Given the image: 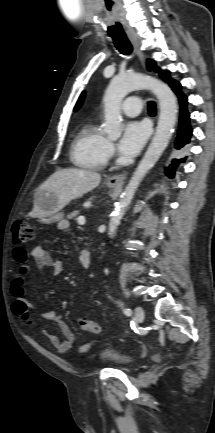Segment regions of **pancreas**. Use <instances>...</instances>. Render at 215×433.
<instances>
[{
	"label": "pancreas",
	"instance_id": "cf45deb5",
	"mask_svg": "<svg viewBox=\"0 0 215 433\" xmlns=\"http://www.w3.org/2000/svg\"><path fill=\"white\" fill-rule=\"evenodd\" d=\"M78 215H79V211L76 210V211L70 213L67 217H68V219H74V218L77 217Z\"/></svg>",
	"mask_w": 215,
	"mask_h": 433
}]
</instances>
